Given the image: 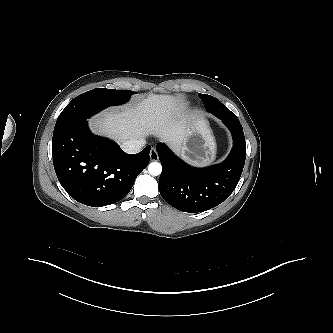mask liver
I'll use <instances>...</instances> for the list:
<instances>
[{
	"label": "liver",
	"instance_id": "obj_1",
	"mask_svg": "<svg viewBox=\"0 0 333 333\" xmlns=\"http://www.w3.org/2000/svg\"><path fill=\"white\" fill-rule=\"evenodd\" d=\"M186 117L178 98L151 94L136 104L104 113L92 124L94 131L120 142L154 135L180 150L188 127Z\"/></svg>",
	"mask_w": 333,
	"mask_h": 333
}]
</instances>
